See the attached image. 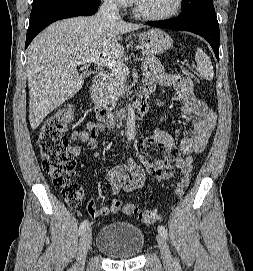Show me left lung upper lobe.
I'll return each instance as SVG.
<instances>
[{
    "mask_svg": "<svg viewBox=\"0 0 253 271\" xmlns=\"http://www.w3.org/2000/svg\"><path fill=\"white\" fill-rule=\"evenodd\" d=\"M212 5L213 0H183L182 13L179 16L187 19L204 12L207 7Z\"/></svg>",
    "mask_w": 253,
    "mask_h": 271,
    "instance_id": "obj_1",
    "label": "left lung upper lobe"
}]
</instances>
